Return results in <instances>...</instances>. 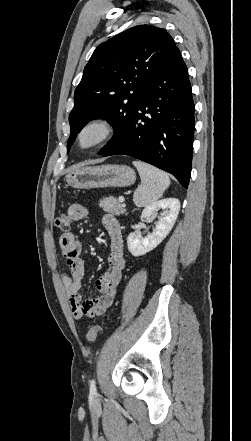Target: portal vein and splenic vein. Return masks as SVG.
I'll use <instances>...</instances> for the list:
<instances>
[{
    "mask_svg": "<svg viewBox=\"0 0 251 441\" xmlns=\"http://www.w3.org/2000/svg\"><path fill=\"white\" fill-rule=\"evenodd\" d=\"M118 200H119V202H121V203H123V202L125 201V199H124L123 196H120Z\"/></svg>",
    "mask_w": 251,
    "mask_h": 441,
    "instance_id": "18ae733b",
    "label": "portal vein and splenic vein"
}]
</instances>
